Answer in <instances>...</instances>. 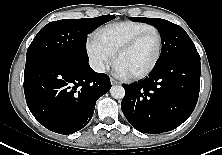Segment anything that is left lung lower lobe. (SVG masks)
Listing matches in <instances>:
<instances>
[{
	"label": "left lung lower lobe",
	"instance_id": "left-lung-lower-lobe-1",
	"mask_svg": "<svg viewBox=\"0 0 222 155\" xmlns=\"http://www.w3.org/2000/svg\"><path fill=\"white\" fill-rule=\"evenodd\" d=\"M200 59L174 58L155 65L149 77L123 85L121 109L142 133L158 134L181 125L193 112L200 87Z\"/></svg>",
	"mask_w": 222,
	"mask_h": 155
}]
</instances>
